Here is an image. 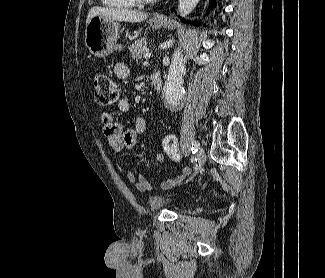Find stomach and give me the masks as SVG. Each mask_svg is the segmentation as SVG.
Wrapping results in <instances>:
<instances>
[{"label": "stomach", "mask_w": 325, "mask_h": 278, "mask_svg": "<svg viewBox=\"0 0 325 278\" xmlns=\"http://www.w3.org/2000/svg\"><path fill=\"white\" fill-rule=\"evenodd\" d=\"M152 29H159L163 21L151 19L149 21ZM120 25L115 20L104 19L94 16L90 19L85 29V45L88 51L95 57H105L113 50H122L119 41Z\"/></svg>", "instance_id": "0dacf381"}]
</instances>
